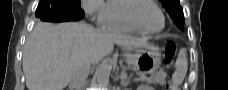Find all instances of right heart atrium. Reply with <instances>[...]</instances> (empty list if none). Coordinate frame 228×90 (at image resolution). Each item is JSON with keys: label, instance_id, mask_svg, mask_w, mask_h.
<instances>
[{"label": "right heart atrium", "instance_id": "right-heart-atrium-1", "mask_svg": "<svg viewBox=\"0 0 228 90\" xmlns=\"http://www.w3.org/2000/svg\"><path fill=\"white\" fill-rule=\"evenodd\" d=\"M81 5L85 13L98 24H104L106 4L103 0H83Z\"/></svg>", "mask_w": 228, "mask_h": 90}]
</instances>
